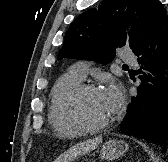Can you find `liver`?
Here are the masks:
<instances>
[{
  "label": "liver",
  "mask_w": 168,
  "mask_h": 162,
  "mask_svg": "<svg viewBox=\"0 0 168 162\" xmlns=\"http://www.w3.org/2000/svg\"><path fill=\"white\" fill-rule=\"evenodd\" d=\"M101 142V137L81 142L61 154L54 162H70L76 157L96 149Z\"/></svg>",
  "instance_id": "obj_1"
}]
</instances>
